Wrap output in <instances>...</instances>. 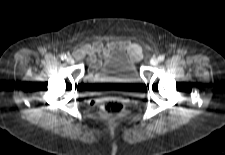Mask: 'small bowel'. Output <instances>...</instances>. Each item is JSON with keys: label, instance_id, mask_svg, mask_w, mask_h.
<instances>
[{"label": "small bowel", "instance_id": "1", "mask_svg": "<svg viewBox=\"0 0 225 155\" xmlns=\"http://www.w3.org/2000/svg\"><path fill=\"white\" fill-rule=\"evenodd\" d=\"M113 51H126L134 61H138L142 54L140 45L122 40L110 41L105 44L100 41L84 44L75 51V56L78 59L86 58L90 65H94L98 58L105 59Z\"/></svg>", "mask_w": 225, "mask_h": 155}]
</instances>
